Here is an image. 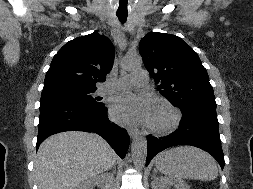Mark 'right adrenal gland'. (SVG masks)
<instances>
[{"instance_id": "obj_1", "label": "right adrenal gland", "mask_w": 253, "mask_h": 189, "mask_svg": "<svg viewBox=\"0 0 253 189\" xmlns=\"http://www.w3.org/2000/svg\"><path fill=\"white\" fill-rule=\"evenodd\" d=\"M112 169H113V173H115L116 166H113Z\"/></svg>"}]
</instances>
